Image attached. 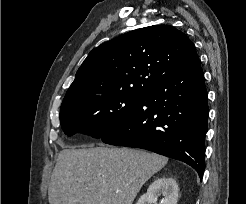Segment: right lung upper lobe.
<instances>
[{"label":"right lung upper lobe","mask_w":246,"mask_h":204,"mask_svg":"<svg viewBox=\"0 0 246 204\" xmlns=\"http://www.w3.org/2000/svg\"><path fill=\"white\" fill-rule=\"evenodd\" d=\"M197 60L193 43L170 25L133 30L89 53L67 90L61 108L101 95L142 94Z\"/></svg>","instance_id":"1"}]
</instances>
